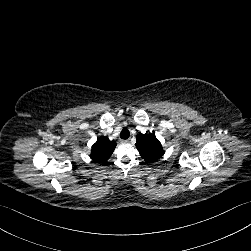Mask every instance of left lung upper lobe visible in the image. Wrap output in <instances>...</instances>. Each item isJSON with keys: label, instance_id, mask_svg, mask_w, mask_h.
I'll list each match as a JSON object with an SVG mask.
<instances>
[{"label": "left lung upper lobe", "instance_id": "1", "mask_svg": "<svg viewBox=\"0 0 251 251\" xmlns=\"http://www.w3.org/2000/svg\"><path fill=\"white\" fill-rule=\"evenodd\" d=\"M136 147L146 163L159 160L165 153L161 143L150 133L138 134Z\"/></svg>", "mask_w": 251, "mask_h": 251}]
</instances>
